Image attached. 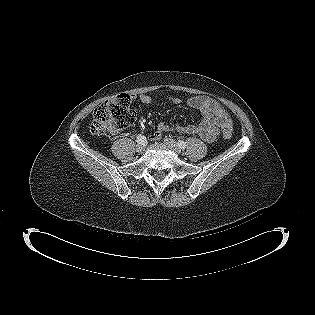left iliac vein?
<instances>
[{
  "mask_svg": "<svg viewBox=\"0 0 315 315\" xmlns=\"http://www.w3.org/2000/svg\"><path fill=\"white\" fill-rule=\"evenodd\" d=\"M164 143L171 148L175 153L180 154L181 149L178 144L171 138H165Z\"/></svg>",
  "mask_w": 315,
  "mask_h": 315,
  "instance_id": "4c4485c4",
  "label": "left iliac vein"
}]
</instances>
